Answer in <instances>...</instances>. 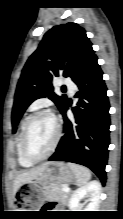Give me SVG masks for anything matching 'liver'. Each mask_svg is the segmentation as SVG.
<instances>
[{
    "instance_id": "1",
    "label": "liver",
    "mask_w": 123,
    "mask_h": 219,
    "mask_svg": "<svg viewBox=\"0 0 123 219\" xmlns=\"http://www.w3.org/2000/svg\"><path fill=\"white\" fill-rule=\"evenodd\" d=\"M50 163L51 162H45L36 168H32L30 170L19 173L13 182L12 197L14 198V196L16 195V193L22 185L30 182L31 180L37 178L40 174H42V172Z\"/></svg>"
}]
</instances>
